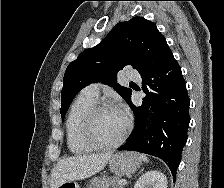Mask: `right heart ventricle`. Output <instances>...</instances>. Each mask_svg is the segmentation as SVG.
<instances>
[{
    "label": "right heart ventricle",
    "mask_w": 224,
    "mask_h": 188,
    "mask_svg": "<svg viewBox=\"0 0 224 188\" xmlns=\"http://www.w3.org/2000/svg\"><path fill=\"white\" fill-rule=\"evenodd\" d=\"M96 104L97 99L82 91L70 107L65 128L67 146L73 154L81 155L93 149L82 136V124L88 111Z\"/></svg>",
    "instance_id": "right-heart-ventricle-1"
}]
</instances>
